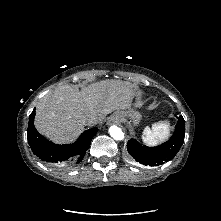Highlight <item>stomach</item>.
Instances as JSON below:
<instances>
[{
	"instance_id": "stomach-1",
	"label": "stomach",
	"mask_w": 221,
	"mask_h": 221,
	"mask_svg": "<svg viewBox=\"0 0 221 221\" xmlns=\"http://www.w3.org/2000/svg\"><path fill=\"white\" fill-rule=\"evenodd\" d=\"M114 116H117L120 118V120H125L126 118H130L133 120L134 124H137L139 122V120L141 119V115L139 112L135 111V110H129V111H125V110H121V111H117L114 113Z\"/></svg>"
}]
</instances>
